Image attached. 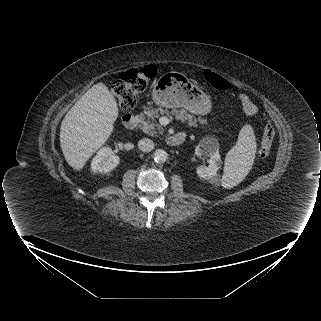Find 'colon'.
Masks as SVG:
<instances>
[{"label":"colon","instance_id":"1","mask_svg":"<svg viewBox=\"0 0 321 321\" xmlns=\"http://www.w3.org/2000/svg\"><path fill=\"white\" fill-rule=\"evenodd\" d=\"M156 73L157 68L152 64L145 65L142 68H131L121 73L119 78L112 84L111 92L117 99L122 111L130 112L134 108L137 97L146 91L149 81L155 77ZM203 76L211 87L219 91H228L230 89L229 82L211 70H204ZM274 136V128L267 121L259 149L261 159L269 156Z\"/></svg>","mask_w":321,"mask_h":321}]
</instances>
